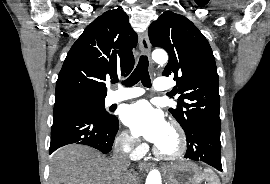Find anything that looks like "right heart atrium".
I'll return each mask as SVG.
<instances>
[{"label":"right heart atrium","instance_id":"d8ad5b80","mask_svg":"<svg viewBox=\"0 0 270 184\" xmlns=\"http://www.w3.org/2000/svg\"><path fill=\"white\" fill-rule=\"evenodd\" d=\"M117 142L121 149L131 156H138L142 152V146L138 141L128 132L123 131L117 138Z\"/></svg>","mask_w":270,"mask_h":184}]
</instances>
